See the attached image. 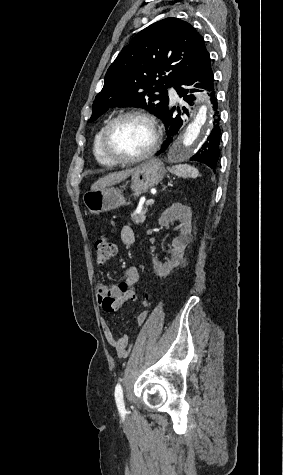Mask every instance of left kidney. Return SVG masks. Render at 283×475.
Listing matches in <instances>:
<instances>
[{"instance_id": "1", "label": "left kidney", "mask_w": 283, "mask_h": 475, "mask_svg": "<svg viewBox=\"0 0 283 475\" xmlns=\"http://www.w3.org/2000/svg\"><path fill=\"white\" fill-rule=\"evenodd\" d=\"M175 220H179L181 224L175 228V230H180V234L178 238L172 239V255L171 259H167V261H159L158 257H152L154 263V269L157 275L160 277H166L169 275L171 269L173 267H177L179 263H181L184 255V249L188 243H190L192 236H191V220H192V212L188 206H183V204H172L170 208H167L165 212H163L161 218H159L160 226H169L170 222H175Z\"/></svg>"}]
</instances>
